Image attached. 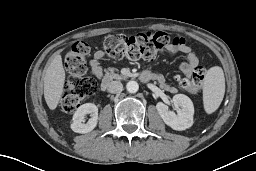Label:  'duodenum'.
I'll use <instances>...</instances> for the list:
<instances>
[{
  "mask_svg": "<svg viewBox=\"0 0 256 171\" xmlns=\"http://www.w3.org/2000/svg\"><path fill=\"white\" fill-rule=\"evenodd\" d=\"M115 75H109L103 78V80L101 81L100 84V88L102 91H106L108 89L109 84L111 83V81L115 78ZM140 80L143 82L149 81L150 80V75L143 73L140 75Z\"/></svg>",
  "mask_w": 256,
  "mask_h": 171,
  "instance_id": "obj_1",
  "label": "duodenum"
}]
</instances>
